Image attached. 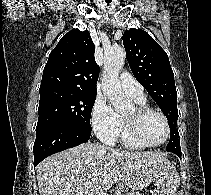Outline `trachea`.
<instances>
[{"label": "trachea", "mask_w": 211, "mask_h": 195, "mask_svg": "<svg viewBox=\"0 0 211 195\" xmlns=\"http://www.w3.org/2000/svg\"><path fill=\"white\" fill-rule=\"evenodd\" d=\"M107 4L109 5V3L111 2V0H106Z\"/></svg>", "instance_id": "3493384b"}]
</instances>
